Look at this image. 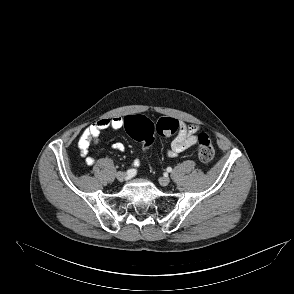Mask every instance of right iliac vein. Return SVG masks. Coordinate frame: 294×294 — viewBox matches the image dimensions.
<instances>
[{
  "mask_svg": "<svg viewBox=\"0 0 294 294\" xmlns=\"http://www.w3.org/2000/svg\"><path fill=\"white\" fill-rule=\"evenodd\" d=\"M125 177H126V175H125L124 172H118V173L116 174V178H117V180H118L119 182H123L124 179H125Z\"/></svg>",
  "mask_w": 294,
  "mask_h": 294,
  "instance_id": "63e3f726",
  "label": "right iliac vein"
}]
</instances>
